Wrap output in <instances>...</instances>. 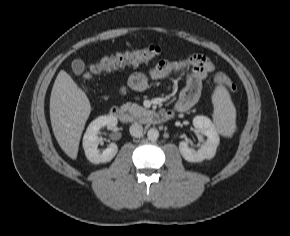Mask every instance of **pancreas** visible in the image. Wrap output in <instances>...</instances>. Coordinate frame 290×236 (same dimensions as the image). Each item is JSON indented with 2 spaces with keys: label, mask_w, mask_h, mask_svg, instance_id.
Instances as JSON below:
<instances>
[{
  "label": "pancreas",
  "mask_w": 290,
  "mask_h": 236,
  "mask_svg": "<svg viewBox=\"0 0 290 236\" xmlns=\"http://www.w3.org/2000/svg\"><path fill=\"white\" fill-rule=\"evenodd\" d=\"M121 108L123 110L128 111L135 118L149 114L148 110L144 109L142 106H139L138 104L131 102L123 104Z\"/></svg>",
  "instance_id": "obj_1"
}]
</instances>
